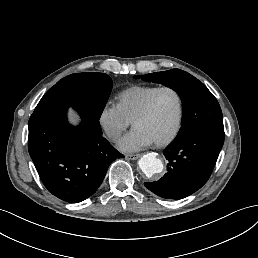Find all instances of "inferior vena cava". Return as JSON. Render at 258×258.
<instances>
[{
  "mask_svg": "<svg viewBox=\"0 0 258 258\" xmlns=\"http://www.w3.org/2000/svg\"><path fill=\"white\" fill-rule=\"evenodd\" d=\"M106 135H107L109 138H111V139H116V138L119 137V135L116 134V133L114 132V130H112V129H107V130H106Z\"/></svg>",
  "mask_w": 258,
  "mask_h": 258,
  "instance_id": "1",
  "label": "inferior vena cava"
}]
</instances>
